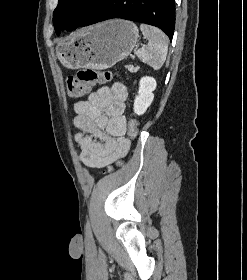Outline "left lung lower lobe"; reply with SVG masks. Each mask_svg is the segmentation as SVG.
<instances>
[{"mask_svg": "<svg viewBox=\"0 0 247 280\" xmlns=\"http://www.w3.org/2000/svg\"><path fill=\"white\" fill-rule=\"evenodd\" d=\"M112 18L138 21L162 29L172 40L175 29L174 0H105L80 24L88 26Z\"/></svg>", "mask_w": 247, "mask_h": 280, "instance_id": "left-lung-lower-lobe-1", "label": "left lung lower lobe"}]
</instances>
